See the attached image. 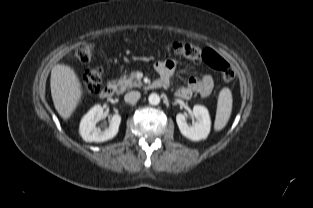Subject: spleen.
Returning a JSON list of instances; mask_svg holds the SVG:
<instances>
[{
  "mask_svg": "<svg viewBox=\"0 0 313 208\" xmlns=\"http://www.w3.org/2000/svg\"><path fill=\"white\" fill-rule=\"evenodd\" d=\"M232 111V94L229 88H223L218 97V103H217V112H216V118L214 123V128L216 131L222 130L231 115Z\"/></svg>",
  "mask_w": 313,
  "mask_h": 208,
  "instance_id": "3e777b00",
  "label": "spleen"
}]
</instances>
